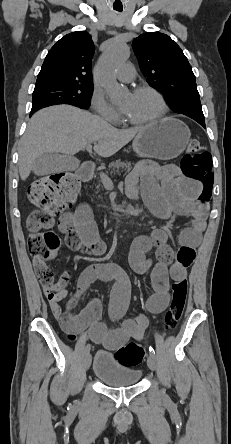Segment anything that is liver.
I'll list each match as a JSON object with an SVG mask.
<instances>
[{
  "instance_id": "liver-1",
  "label": "liver",
  "mask_w": 231,
  "mask_h": 444,
  "mask_svg": "<svg viewBox=\"0 0 231 444\" xmlns=\"http://www.w3.org/2000/svg\"><path fill=\"white\" fill-rule=\"evenodd\" d=\"M146 127V126H145ZM145 127L117 129L87 111L70 105L51 106L30 119L19 145V174L26 180L35 159L45 153L74 156L94 143V151L110 157Z\"/></svg>"
}]
</instances>
